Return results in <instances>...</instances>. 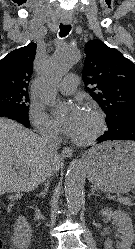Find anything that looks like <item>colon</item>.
<instances>
[{
  "mask_svg": "<svg viewBox=\"0 0 135 249\" xmlns=\"http://www.w3.org/2000/svg\"><path fill=\"white\" fill-rule=\"evenodd\" d=\"M0 249H2V244H1V242H0Z\"/></svg>",
  "mask_w": 135,
  "mask_h": 249,
  "instance_id": "5ec220e1",
  "label": "colon"
}]
</instances>
